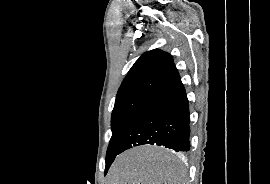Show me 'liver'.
<instances>
[{"instance_id":"1","label":"liver","mask_w":270,"mask_h":184,"mask_svg":"<svg viewBox=\"0 0 270 184\" xmlns=\"http://www.w3.org/2000/svg\"><path fill=\"white\" fill-rule=\"evenodd\" d=\"M186 173L171 163L168 151L142 145L118 155L108 172V184H186Z\"/></svg>"}]
</instances>
